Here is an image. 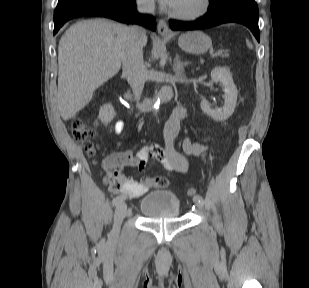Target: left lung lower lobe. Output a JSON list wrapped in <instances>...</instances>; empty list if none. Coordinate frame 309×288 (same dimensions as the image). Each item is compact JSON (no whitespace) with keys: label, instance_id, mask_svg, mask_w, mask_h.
Segmentation results:
<instances>
[{"label":"left lung lower lobe","instance_id":"obj_1","mask_svg":"<svg viewBox=\"0 0 309 288\" xmlns=\"http://www.w3.org/2000/svg\"><path fill=\"white\" fill-rule=\"evenodd\" d=\"M227 22L247 26L259 42L258 9L254 0H221L197 21L170 20L169 25L173 30H197Z\"/></svg>","mask_w":309,"mask_h":288}]
</instances>
